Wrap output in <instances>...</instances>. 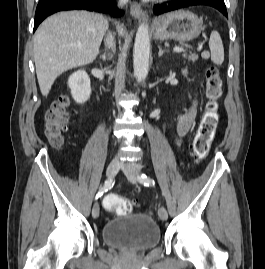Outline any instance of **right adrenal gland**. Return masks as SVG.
<instances>
[{
  "mask_svg": "<svg viewBox=\"0 0 265 269\" xmlns=\"http://www.w3.org/2000/svg\"><path fill=\"white\" fill-rule=\"evenodd\" d=\"M112 55H108L106 53L100 55V58L103 60V61H106L108 59H111Z\"/></svg>",
  "mask_w": 265,
  "mask_h": 269,
  "instance_id": "right-adrenal-gland-1",
  "label": "right adrenal gland"
}]
</instances>
